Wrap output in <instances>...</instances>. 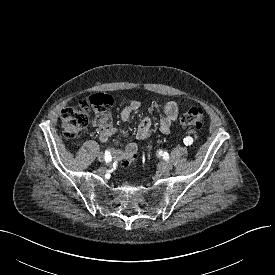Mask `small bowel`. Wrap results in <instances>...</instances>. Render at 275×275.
I'll return each instance as SVG.
<instances>
[{"mask_svg":"<svg viewBox=\"0 0 275 275\" xmlns=\"http://www.w3.org/2000/svg\"><path fill=\"white\" fill-rule=\"evenodd\" d=\"M141 104L139 101L134 100L130 102L127 106H125L120 112V118L123 122H126L130 119L132 113L140 108ZM181 111L180 106L173 101H169L164 106V114L159 120V130L164 133L168 134L174 122L176 121L179 113ZM99 129V139L101 142H106L111 136L118 133L117 128L113 125L110 117L102 121H96ZM152 126V120L149 117H145L140 122L138 129H137V139L140 141H144L147 139L150 129ZM137 144L135 142L130 141L125 150L117 151L112 149V153L114 156L118 157L123 164L132 161L137 153Z\"/></svg>","mask_w":275,"mask_h":275,"instance_id":"small-bowel-1","label":"small bowel"}]
</instances>
